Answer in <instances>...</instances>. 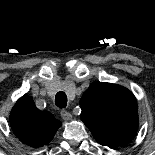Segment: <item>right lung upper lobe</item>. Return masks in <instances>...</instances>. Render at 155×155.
Here are the masks:
<instances>
[{"label":"right lung upper lobe","mask_w":155,"mask_h":155,"mask_svg":"<svg viewBox=\"0 0 155 155\" xmlns=\"http://www.w3.org/2000/svg\"><path fill=\"white\" fill-rule=\"evenodd\" d=\"M10 126L23 143L42 147L52 140L61 122L48 111H40L32 97L24 95L18 99L10 113Z\"/></svg>","instance_id":"cb5924a9"}]
</instances>
